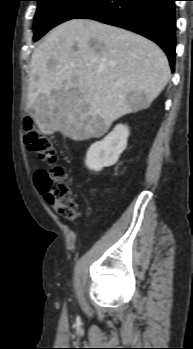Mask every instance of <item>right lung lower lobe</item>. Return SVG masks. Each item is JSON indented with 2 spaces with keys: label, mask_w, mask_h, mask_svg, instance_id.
Returning <instances> with one entry per match:
<instances>
[{
  "label": "right lung lower lobe",
  "mask_w": 193,
  "mask_h": 349,
  "mask_svg": "<svg viewBox=\"0 0 193 349\" xmlns=\"http://www.w3.org/2000/svg\"><path fill=\"white\" fill-rule=\"evenodd\" d=\"M176 0H97L75 18L118 26L156 42L174 71Z\"/></svg>",
  "instance_id": "right-lung-lower-lobe-1"
}]
</instances>
